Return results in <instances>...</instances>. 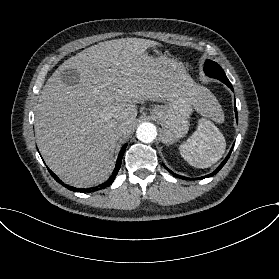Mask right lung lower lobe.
Masks as SVG:
<instances>
[{"label": "right lung lower lobe", "instance_id": "obj_1", "mask_svg": "<svg viewBox=\"0 0 279 279\" xmlns=\"http://www.w3.org/2000/svg\"><path fill=\"white\" fill-rule=\"evenodd\" d=\"M126 147H127V143L121 148L120 150V153L118 155V159H117V162H116V166H115V169L112 173V175L110 176V178L103 184L99 185V186H96V187H91V188H87V189H83V188H75V187H72V186H69V185H66L64 184L50 169H48V171L50 172L51 176H53V178L58 182L60 183L61 185H63L64 187L68 188L69 190L71 191H75V192H94V191H98V190H101V189H104L106 187H108L109 185L112 184V182L114 181L119 169H120V166H121V161H122V157L124 155V152L126 150Z\"/></svg>", "mask_w": 279, "mask_h": 279}]
</instances>
